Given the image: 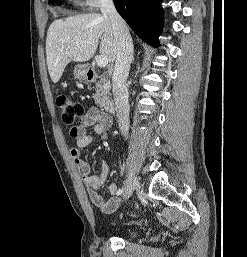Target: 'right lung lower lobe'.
I'll use <instances>...</instances> for the list:
<instances>
[{
	"label": "right lung lower lobe",
	"instance_id": "obj_1",
	"mask_svg": "<svg viewBox=\"0 0 247 257\" xmlns=\"http://www.w3.org/2000/svg\"><path fill=\"white\" fill-rule=\"evenodd\" d=\"M118 13L148 44L158 47L163 27L162 0H114Z\"/></svg>",
	"mask_w": 247,
	"mask_h": 257
}]
</instances>
